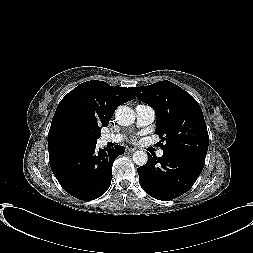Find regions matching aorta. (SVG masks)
<instances>
[{"instance_id":"1","label":"aorta","mask_w":253,"mask_h":253,"mask_svg":"<svg viewBox=\"0 0 253 253\" xmlns=\"http://www.w3.org/2000/svg\"><path fill=\"white\" fill-rule=\"evenodd\" d=\"M115 119L119 125L129 126L134 123L135 114L130 107L121 105L115 111ZM132 159L136 165L143 166L148 161V155L145 151L138 150L133 153Z\"/></svg>"}]
</instances>
